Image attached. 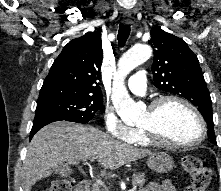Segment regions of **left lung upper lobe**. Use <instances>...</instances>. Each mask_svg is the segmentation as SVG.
Returning <instances> with one entry per match:
<instances>
[{
	"mask_svg": "<svg viewBox=\"0 0 221 191\" xmlns=\"http://www.w3.org/2000/svg\"><path fill=\"white\" fill-rule=\"evenodd\" d=\"M155 86L177 94L197 106L208 126V137L216 144L212 101L197 56L181 39L154 27L150 31Z\"/></svg>",
	"mask_w": 221,
	"mask_h": 191,
	"instance_id": "1",
	"label": "left lung upper lobe"
}]
</instances>
